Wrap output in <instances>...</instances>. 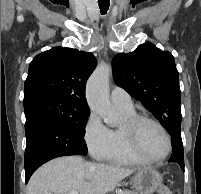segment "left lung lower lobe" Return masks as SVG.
Wrapping results in <instances>:
<instances>
[{
    "mask_svg": "<svg viewBox=\"0 0 201 194\" xmlns=\"http://www.w3.org/2000/svg\"><path fill=\"white\" fill-rule=\"evenodd\" d=\"M170 134L172 136V155L169 162L178 163L184 171V152L180 131L174 130Z\"/></svg>",
    "mask_w": 201,
    "mask_h": 194,
    "instance_id": "1",
    "label": "left lung lower lobe"
}]
</instances>
